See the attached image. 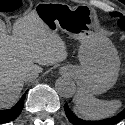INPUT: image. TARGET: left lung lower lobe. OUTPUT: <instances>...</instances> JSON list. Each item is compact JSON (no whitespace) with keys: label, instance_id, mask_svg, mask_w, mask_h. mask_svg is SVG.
Listing matches in <instances>:
<instances>
[{"label":"left lung lower lobe","instance_id":"0a47b994","mask_svg":"<svg viewBox=\"0 0 125 125\" xmlns=\"http://www.w3.org/2000/svg\"><path fill=\"white\" fill-rule=\"evenodd\" d=\"M64 110H65L66 116L68 117V120L73 125H115L125 118V109L121 111L119 114H117L116 116L103 119V120H99V121H85V120L79 119L70 110L67 103L64 106Z\"/></svg>","mask_w":125,"mask_h":125}]
</instances>
